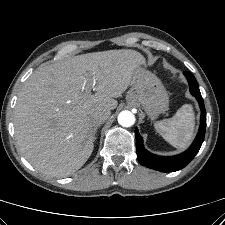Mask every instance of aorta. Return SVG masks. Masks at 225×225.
I'll use <instances>...</instances> for the list:
<instances>
[{
	"mask_svg": "<svg viewBox=\"0 0 225 225\" xmlns=\"http://www.w3.org/2000/svg\"><path fill=\"white\" fill-rule=\"evenodd\" d=\"M118 123L123 127H131L135 123V116L130 111H122L118 115Z\"/></svg>",
	"mask_w": 225,
	"mask_h": 225,
	"instance_id": "1",
	"label": "aorta"
}]
</instances>
